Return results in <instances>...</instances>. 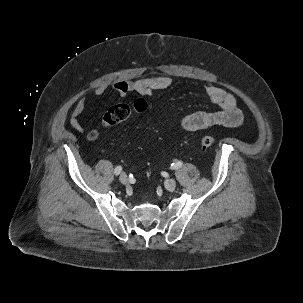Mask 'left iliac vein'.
<instances>
[{
    "label": "left iliac vein",
    "instance_id": "1",
    "mask_svg": "<svg viewBox=\"0 0 303 303\" xmlns=\"http://www.w3.org/2000/svg\"><path fill=\"white\" fill-rule=\"evenodd\" d=\"M164 186L167 190L173 191L176 187V181L174 179H167L164 182Z\"/></svg>",
    "mask_w": 303,
    "mask_h": 303
}]
</instances>
